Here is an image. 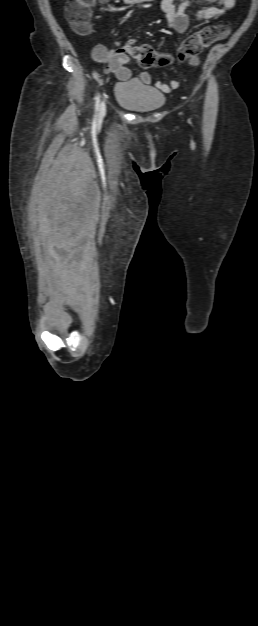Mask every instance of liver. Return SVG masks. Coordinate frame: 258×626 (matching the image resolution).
Returning a JSON list of instances; mask_svg holds the SVG:
<instances>
[{"instance_id":"liver-1","label":"liver","mask_w":258,"mask_h":626,"mask_svg":"<svg viewBox=\"0 0 258 626\" xmlns=\"http://www.w3.org/2000/svg\"><path fill=\"white\" fill-rule=\"evenodd\" d=\"M45 220H46V219H45V217H43V218H42V222H45Z\"/></svg>"}]
</instances>
